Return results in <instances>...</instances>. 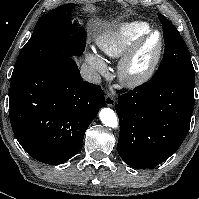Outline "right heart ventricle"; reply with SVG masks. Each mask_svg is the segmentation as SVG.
Wrapping results in <instances>:
<instances>
[{"mask_svg": "<svg viewBox=\"0 0 199 199\" xmlns=\"http://www.w3.org/2000/svg\"><path fill=\"white\" fill-rule=\"evenodd\" d=\"M151 30L148 23L133 21L114 26L102 33L96 40L98 47L111 58L123 56L131 45Z\"/></svg>", "mask_w": 199, "mask_h": 199, "instance_id": "e07e8e85", "label": "right heart ventricle"}]
</instances>
